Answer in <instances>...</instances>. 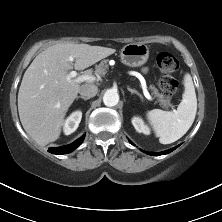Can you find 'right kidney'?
<instances>
[{"mask_svg":"<svg viewBox=\"0 0 222 222\" xmlns=\"http://www.w3.org/2000/svg\"><path fill=\"white\" fill-rule=\"evenodd\" d=\"M81 118L82 112L75 111L65 120L63 128L65 135H70L71 133L76 131L81 121Z\"/></svg>","mask_w":222,"mask_h":222,"instance_id":"ca27d5eb","label":"right kidney"}]
</instances>
